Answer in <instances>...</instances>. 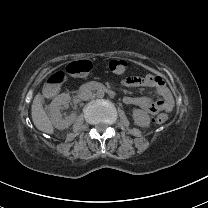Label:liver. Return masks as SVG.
<instances>
[{"label":"liver","instance_id":"1","mask_svg":"<svg viewBox=\"0 0 208 208\" xmlns=\"http://www.w3.org/2000/svg\"><path fill=\"white\" fill-rule=\"evenodd\" d=\"M44 101L43 96L38 93L32 104V120L38 130L48 134H53V125L47 114L45 113L42 102Z\"/></svg>","mask_w":208,"mask_h":208}]
</instances>
